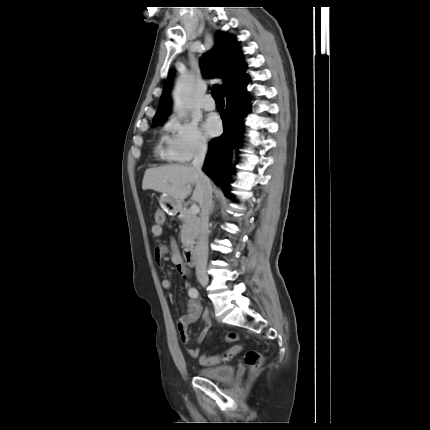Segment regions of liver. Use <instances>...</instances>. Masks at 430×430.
<instances>
[{
	"label": "liver",
	"mask_w": 430,
	"mask_h": 430,
	"mask_svg": "<svg viewBox=\"0 0 430 430\" xmlns=\"http://www.w3.org/2000/svg\"><path fill=\"white\" fill-rule=\"evenodd\" d=\"M190 185H195L192 200L200 204L203 187L198 172L190 165L172 164L147 169L142 189H152L173 199L183 200L190 195Z\"/></svg>",
	"instance_id": "liver-1"
}]
</instances>
